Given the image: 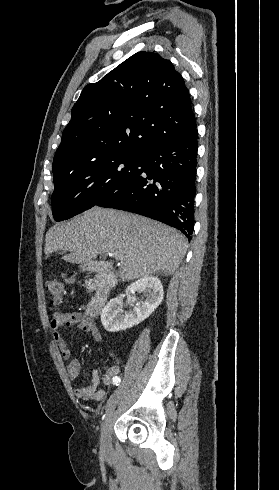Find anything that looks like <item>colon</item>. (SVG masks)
Wrapping results in <instances>:
<instances>
[{"mask_svg": "<svg viewBox=\"0 0 279 490\" xmlns=\"http://www.w3.org/2000/svg\"><path fill=\"white\" fill-rule=\"evenodd\" d=\"M64 284L59 279H50L46 283V288L49 294L53 297L54 304L58 307L63 298Z\"/></svg>", "mask_w": 279, "mask_h": 490, "instance_id": "obj_1", "label": "colon"}]
</instances>
